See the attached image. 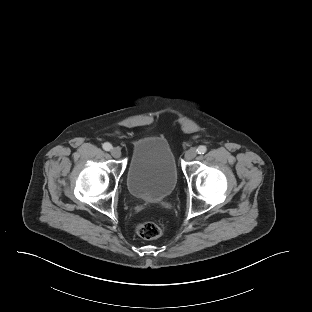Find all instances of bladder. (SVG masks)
Listing matches in <instances>:
<instances>
[{
  "label": "bladder",
  "mask_w": 312,
  "mask_h": 312,
  "mask_svg": "<svg viewBox=\"0 0 312 312\" xmlns=\"http://www.w3.org/2000/svg\"><path fill=\"white\" fill-rule=\"evenodd\" d=\"M179 178L175 155L167 139L146 136L131 151L126 175L128 192L145 202H158L175 189Z\"/></svg>",
  "instance_id": "obj_1"
}]
</instances>
